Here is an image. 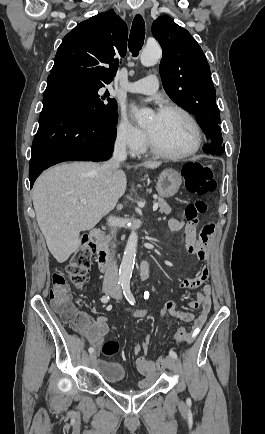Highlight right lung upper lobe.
<instances>
[{
    "label": "right lung upper lobe",
    "mask_w": 265,
    "mask_h": 434,
    "mask_svg": "<svg viewBox=\"0 0 265 434\" xmlns=\"http://www.w3.org/2000/svg\"><path fill=\"white\" fill-rule=\"evenodd\" d=\"M127 39V26L114 10L99 13L64 37L49 77L85 75L111 82L126 55Z\"/></svg>",
    "instance_id": "1"
}]
</instances>
